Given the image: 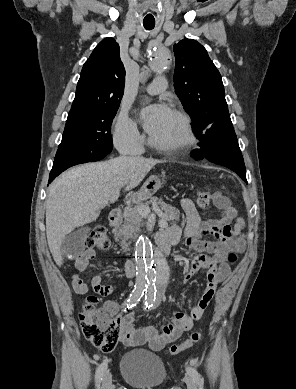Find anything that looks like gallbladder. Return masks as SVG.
Returning <instances> with one entry per match:
<instances>
[{"label": "gallbladder", "instance_id": "obj_1", "mask_svg": "<svg viewBox=\"0 0 296 389\" xmlns=\"http://www.w3.org/2000/svg\"><path fill=\"white\" fill-rule=\"evenodd\" d=\"M88 231V228H81L66 235L61 244L62 253L68 257L80 255L84 250L83 240Z\"/></svg>", "mask_w": 296, "mask_h": 389}]
</instances>
